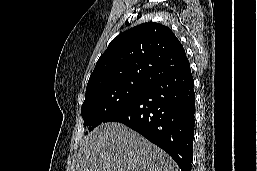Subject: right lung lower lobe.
<instances>
[{"label":"right lung lower lobe","mask_w":257,"mask_h":171,"mask_svg":"<svg viewBox=\"0 0 257 171\" xmlns=\"http://www.w3.org/2000/svg\"><path fill=\"white\" fill-rule=\"evenodd\" d=\"M190 64L148 85L105 122H120L165 150L182 171H191L195 124Z\"/></svg>","instance_id":"98d812e1"}]
</instances>
